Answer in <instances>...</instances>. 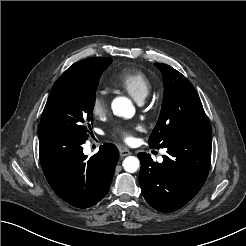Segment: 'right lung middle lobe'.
<instances>
[{"instance_id":"dd1d6c3e","label":"right lung middle lobe","mask_w":246,"mask_h":246,"mask_svg":"<svg viewBox=\"0 0 246 246\" xmlns=\"http://www.w3.org/2000/svg\"><path fill=\"white\" fill-rule=\"evenodd\" d=\"M87 60L82 68L62 74L53 85L41 116L39 133H75L87 139L99 78L112 59L93 57Z\"/></svg>"}]
</instances>
